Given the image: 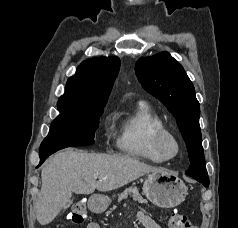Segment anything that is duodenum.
<instances>
[{"label": "duodenum", "mask_w": 238, "mask_h": 228, "mask_svg": "<svg viewBox=\"0 0 238 228\" xmlns=\"http://www.w3.org/2000/svg\"><path fill=\"white\" fill-rule=\"evenodd\" d=\"M91 207L93 209H98L99 208V201L97 199H94L91 203Z\"/></svg>", "instance_id": "duodenum-1"}]
</instances>
